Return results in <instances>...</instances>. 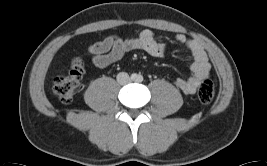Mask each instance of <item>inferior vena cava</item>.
I'll return each instance as SVG.
<instances>
[{
  "mask_svg": "<svg viewBox=\"0 0 267 166\" xmlns=\"http://www.w3.org/2000/svg\"><path fill=\"white\" fill-rule=\"evenodd\" d=\"M117 82L121 85H126L130 82V77L127 73L125 72H120L117 75Z\"/></svg>",
  "mask_w": 267,
  "mask_h": 166,
  "instance_id": "1",
  "label": "inferior vena cava"
}]
</instances>
